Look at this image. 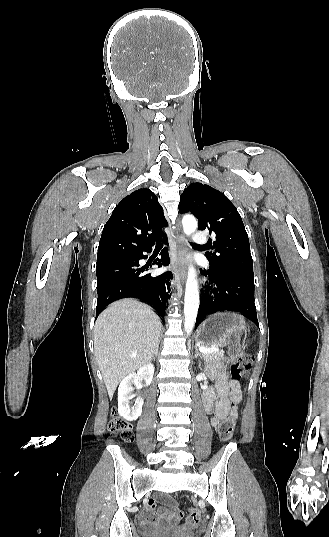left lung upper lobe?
<instances>
[{
	"instance_id": "obj_1",
	"label": "left lung upper lobe",
	"mask_w": 329,
	"mask_h": 537,
	"mask_svg": "<svg viewBox=\"0 0 329 537\" xmlns=\"http://www.w3.org/2000/svg\"><path fill=\"white\" fill-rule=\"evenodd\" d=\"M179 210L194 214L198 229L209 230L214 237V252L206 254L210 268L254 277L247 232L237 209L223 193L192 183L181 194Z\"/></svg>"
}]
</instances>
